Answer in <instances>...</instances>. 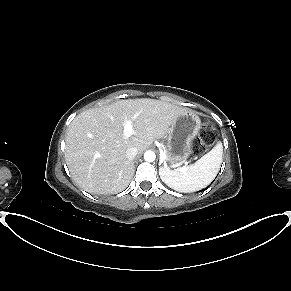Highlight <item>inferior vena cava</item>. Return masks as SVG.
I'll list each match as a JSON object with an SVG mask.
<instances>
[{
	"mask_svg": "<svg viewBox=\"0 0 291 291\" xmlns=\"http://www.w3.org/2000/svg\"><path fill=\"white\" fill-rule=\"evenodd\" d=\"M138 153V150L137 148L135 147H132V148H128L126 150V157L129 159V160H133L135 158V156L137 155Z\"/></svg>",
	"mask_w": 291,
	"mask_h": 291,
	"instance_id": "1",
	"label": "inferior vena cava"
}]
</instances>
